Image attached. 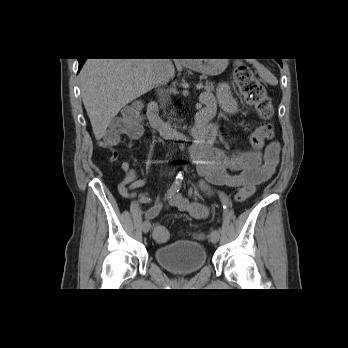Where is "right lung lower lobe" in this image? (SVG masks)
I'll list each match as a JSON object with an SVG mask.
<instances>
[{
	"mask_svg": "<svg viewBox=\"0 0 348 348\" xmlns=\"http://www.w3.org/2000/svg\"><path fill=\"white\" fill-rule=\"evenodd\" d=\"M78 61H79V68H78V72H79L81 70L84 62L86 61V59H78Z\"/></svg>",
	"mask_w": 348,
	"mask_h": 348,
	"instance_id": "98d812e1",
	"label": "right lung lower lobe"
}]
</instances>
